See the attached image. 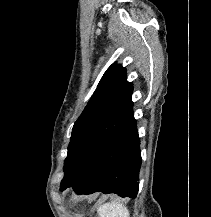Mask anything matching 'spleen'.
<instances>
[{"label": "spleen", "mask_w": 211, "mask_h": 217, "mask_svg": "<svg viewBox=\"0 0 211 217\" xmlns=\"http://www.w3.org/2000/svg\"><path fill=\"white\" fill-rule=\"evenodd\" d=\"M99 217H130L129 210L119 202L105 203L98 207Z\"/></svg>", "instance_id": "obj_1"}]
</instances>
